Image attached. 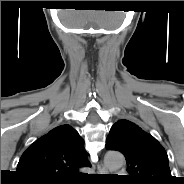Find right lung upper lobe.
<instances>
[{"label":"right lung upper lobe","mask_w":184,"mask_h":184,"mask_svg":"<svg viewBox=\"0 0 184 184\" xmlns=\"http://www.w3.org/2000/svg\"><path fill=\"white\" fill-rule=\"evenodd\" d=\"M84 141L70 125H60L31 144L21 156L17 173L35 184L67 183L80 167H90Z\"/></svg>","instance_id":"1"}]
</instances>
